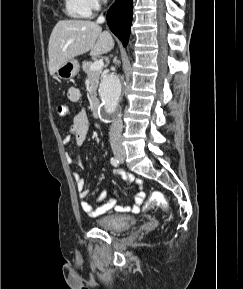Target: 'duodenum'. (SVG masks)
I'll return each instance as SVG.
<instances>
[{"label":"duodenum","instance_id":"1","mask_svg":"<svg viewBox=\"0 0 243 289\" xmlns=\"http://www.w3.org/2000/svg\"><path fill=\"white\" fill-rule=\"evenodd\" d=\"M92 112L95 117L101 116V104L97 99L92 102Z\"/></svg>","mask_w":243,"mask_h":289}]
</instances>
